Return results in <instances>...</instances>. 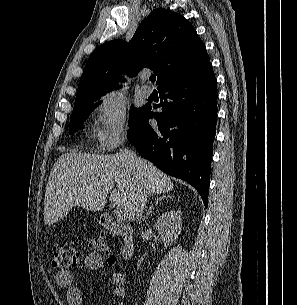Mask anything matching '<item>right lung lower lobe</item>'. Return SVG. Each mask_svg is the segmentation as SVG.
<instances>
[{"label": "right lung lower lobe", "instance_id": "right-lung-lower-lobe-1", "mask_svg": "<svg viewBox=\"0 0 297 305\" xmlns=\"http://www.w3.org/2000/svg\"><path fill=\"white\" fill-rule=\"evenodd\" d=\"M160 104L146 105L127 137L144 158L190 183L208 202L217 87L210 64L189 77L158 87ZM162 107L161 112L152 109ZM153 118L156 123L149 124Z\"/></svg>", "mask_w": 297, "mask_h": 305}]
</instances>
